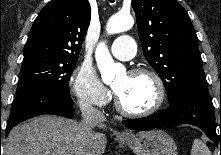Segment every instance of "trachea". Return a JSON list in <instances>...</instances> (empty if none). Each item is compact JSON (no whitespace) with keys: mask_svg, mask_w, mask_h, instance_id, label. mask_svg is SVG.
I'll use <instances>...</instances> for the list:
<instances>
[{"mask_svg":"<svg viewBox=\"0 0 221 155\" xmlns=\"http://www.w3.org/2000/svg\"><path fill=\"white\" fill-rule=\"evenodd\" d=\"M111 3H113L115 0H109Z\"/></svg>","mask_w":221,"mask_h":155,"instance_id":"3493384b","label":"trachea"}]
</instances>
